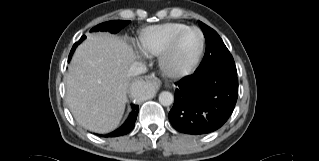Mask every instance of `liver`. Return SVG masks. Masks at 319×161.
<instances>
[{"mask_svg":"<svg viewBox=\"0 0 319 161\" xmlns=\"http://www.w3.org/2000/svg\"><path fill=\"white\" fill-rule=\"evenodd\" d=\"M137 55L108 33L87 36L78 46L66 78V100L84 128L106 133L119 124L127 102L128 70Z\"/></svg>","mask_w":319,"mask_h":161,"instance_id":"liver-1","label":"liver"}]
</instances>
